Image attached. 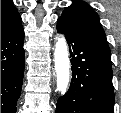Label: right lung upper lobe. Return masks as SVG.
<instances>
[{
	"label": "right lung upper lobe",
	"instance_id": "cb5924a9",
	"mask_svg": "<svg viewBox=\"0 0 121 113\" xmlns=\"http://www.w3.org/2000/svg\"><path fill=\"white\" fill-rule=\"evenodd\" d=\"M21 25V17L12 0H1V36Z\"/></svg>",
	"mask_w": 121,
	"mask_h": 113
}]
</instances>
